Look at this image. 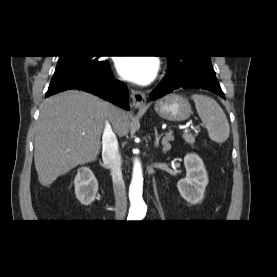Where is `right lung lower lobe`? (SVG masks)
<instances>
[{
  "label": "right lung lower lobe",
  "instance_id": "obj_1",
  "mask_svg": "<svg viewBox=\"0 0 277 277\" xmlns=\"http://www.w3.org/2000/svg\"><path fill=\"white\" fill-rule=\"evenodd\" d=\"M68 89H78L92 93L123 109L129 110L128 89L125 85L112 78L109 64L104 71L100 72L95 78L74 82L57 89H48L46 97Z\"/></svg>",
  "mask_w": 277,
  "mask_h": 277
}]
</instances>
